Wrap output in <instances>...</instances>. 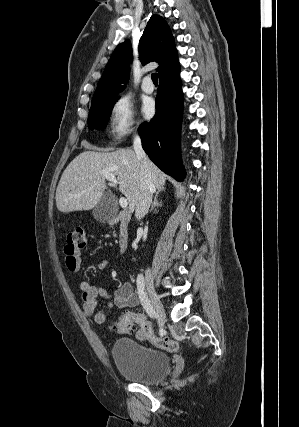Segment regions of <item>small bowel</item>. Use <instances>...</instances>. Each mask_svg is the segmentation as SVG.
Listing matches in <instances>:
<instances>
[{
  "instance_id": "1",
  "label": "small bowel",
  "mask_w": 299,
  "mask_h": 427,
  "mask_svg": "<svg viewBox=\"0 0 299 427\" xmlns=\"http://www.w3.org/2000/svg\"><path fill=\"white\" fill-rule=\"evenodd\" d=\"M65 253V265L68 271L77 273L81 267V255L79 251L70 254L64 250ZM97 267L99 270H106L108 268V261L103 259L98 262ZM110 288L104 285H96L89 281H82L80 283V299L83 305V313L87 317H94V320L98 324H105L108 321L110 308L115 306L118 309H127L136 307L140 304L141 300L139 295L134 291L130 283H124L120 286L112 288L114 293V299L108 303L107 309L98 310V299L102 298L109 301L111 298ZM141 314V313H140ZM143 317L144 315L141 314ZM149 326L152 330L151 323ZM153 330L151 335H145L138 330L136 338L140 340H149L153 342Z\"/></svg>"
}]
</instances>
